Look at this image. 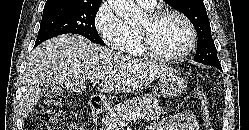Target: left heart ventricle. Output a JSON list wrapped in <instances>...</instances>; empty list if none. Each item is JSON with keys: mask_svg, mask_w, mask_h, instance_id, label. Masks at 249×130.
<instances>
[{"mask_svg": "<svg viewBox=\"0 0 249 130\" xmlns=\"http://www.w3.org/2000/svg\"><path fill=\"white\" fill-rule=\"evenodd\" d=\"M144 21L141 23L143 24ZM155 47L166 55H175L183 51L189 42V31L185 23L175 17L166 16L152 28Z\"/></svg>", "mask_w": 249, "mask_h": 130, "instance_id": "b2bd125f", "label": "left heart ventricle"}]
</instances>
